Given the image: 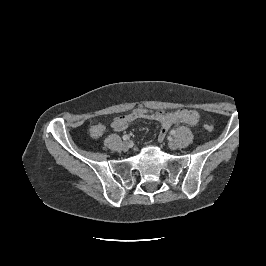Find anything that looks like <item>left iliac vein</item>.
<instances>
[{"label":"left iliac vein","instance_id":"left-iliac-vein-1","mask_svg":"<svg viewBox=\"0 0 266 266\" xmlns=\"http://www.w3.org/2000/svg\"><path fill=\"white\" fill-rule=\"evenodd\" d=\"M169 147L172 149V150H175L178 148V144L175 140H170L169 143H168Z\"/></svg>","mask_w":266,"mask_h":266}]
</instances>
